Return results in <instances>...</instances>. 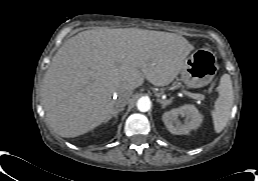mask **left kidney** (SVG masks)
Instances as JSON below:
<instances>
[{
  "label": "left kidney",
  "mask_w": 258,
  "mask_h": 181,
  "mask_svg": "<svg viewBox=\"0 0 258 181\" xmlns=\"http://www.w3.org/2000/svg\"><path fill=\"white\" fill-rule=\"evenodd\" d=\"M179 116L185 117L183 124L179 121ZM162 120L172 134L186 135L191 130L197 129L203 119L194 105H184L165 112Z\"/></svg>",
  "instance_id": "obj_1"
}]
</instances>
